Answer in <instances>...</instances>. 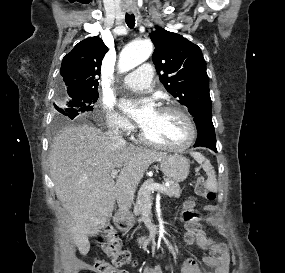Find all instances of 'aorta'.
I'll return each mask as SVG.
<instances>
[{
    "label": "aorta",
    "instance_id": "obj_1",
    "mask_svg": "<svg viewBox=\"0 0 285 273\" xmlns=\"http://www.w3.org/2000/svg\"><path fill=\"white\" fill-rule=\"evenodd\" d=\"M153 52V45L148 40L135 41L128 44L119 58L120 72H127L146 61Z\"/></svg>",
    "mask_w": 285,
    "mask_h": 273
}]
</instances>
